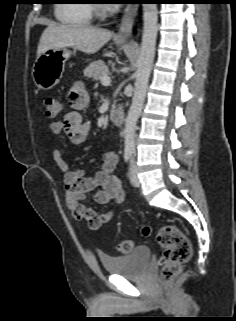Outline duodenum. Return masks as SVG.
I'll return each instance as SVG.
<instances>
[{"mask_svg":"<svg viewBox=\"0 0 236 321\" xmlns=\"http://www.w3.org/2000/svg\"><path fill=\"white\" fill-rule=\"evenodd\" d=\"M111 120L116 125H122L124 122V114L120 110H116L111 114Z\"/></svg>","mask_w":236,"mask_h":321,"instance_id":"duodenum-1","label":"duodenum"}]
</instances>
